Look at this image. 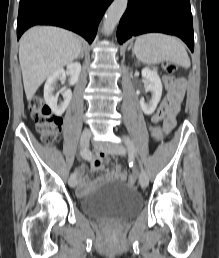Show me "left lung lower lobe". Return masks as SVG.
<instances>
[{"mask_svg": "<svg viewBox=\"0 0 219 258\" xmlns=\"http://www.w3.org/2000/svg\"><path fill=\"white\" fill-rule=\"evenodd\" d=\"M161 32L180 37L194 51L193 21L189 0H128L118 29L117 40Z\"/></svg>", "mask_w": 219, "mask_h": 258, "instance_id": "0a47b994", "label": "left lung lower lobe"}]
</instances>
